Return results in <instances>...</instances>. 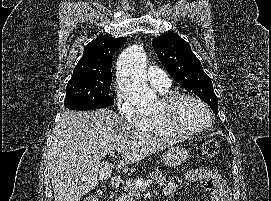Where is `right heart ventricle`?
Here are the masks:
<instances>
[{
    "label": "right heart ventricle",
    "mask_w": 271,
    "mask_h": 201,
    "mask_svg": "<svg viewBox=\"0 0 271 201\" xmlns=\"http://www.w3.org/2000/svg\"><path fill=\"white\" fill-rule=\"evenodd\" d=\"M168 90H161L162 93H166ZM143 130L149 134H153L160 137H170V138H178L186 135L178 134L166 126H164L156 116L149 117V121L147 125L143 128Z\"/></svg>",
    "instance_id": "e07e8e85"
}]
</instances>
